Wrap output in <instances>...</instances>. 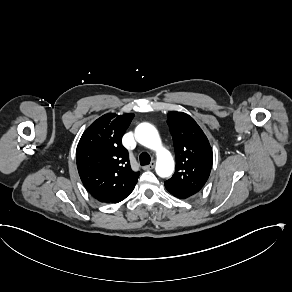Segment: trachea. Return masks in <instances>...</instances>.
<instances>
[{
	"instance_id": "3493384b",
	"label": "trachea",
	"mask_w": 292,
	"mask_h": 292,
	"mask_svg": "<svg viewBox=\"0 0 292 292\" xmlns=\"http://www.w3.org/2000/svg\"><path fill=\"white\" fill-rule=\"evenodd\" d=\"M139 160L141 166L149 165L151 162L150 155L146 152L140 154Z\"/></svg>"
}]
</instances>
